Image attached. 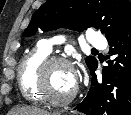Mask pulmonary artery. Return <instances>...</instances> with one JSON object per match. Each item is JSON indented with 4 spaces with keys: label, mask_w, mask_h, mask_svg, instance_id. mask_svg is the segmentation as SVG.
<instances>
[{
    "label": "pulmonary artery",
    "mask_w": 131,
    "mask_h": 115,
    "mask_svg": "<svg viewBox=\"0 0 131 115\" xmlns=\"http://www.w3.org/2000/svg\"><path fill=\"white\" fill-rule=\"evenodd\" d=\"M88 42L91 46L104 49L106 46V40L103 35L98 32L89 33ZM41 48L47 52H51L52 49V40L45 39L41 42Z\"/></svg>",
    "instance_id": "1"
}]
</instances>
